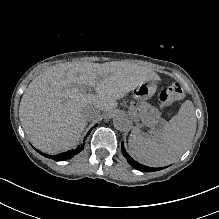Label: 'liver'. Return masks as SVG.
<instances>
[{
  "label": "liver",
  "instance_id": "1",
  "mask_svg": "<svg viewBox=\"0 0 219 219\" xmlns=\"http://www.w3.org/2000/svg\"><path fill=\"white\" fill-rule=\"evenodd\" d=\"M149 75L143 67L118 62H72L45 68L22 96L20 122L37 149L49 154L68 151L87 124L86 112H91L93 120L101 111L114 110L116 100ZM79 86L91 87L95 93L85 95L76 90Z\"/></svg>",
  "mask_w": 219,
  "mask_h": 219
}]
</instances>
